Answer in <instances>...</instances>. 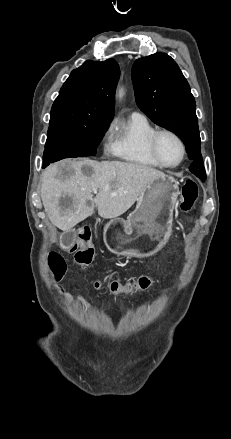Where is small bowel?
I'll list each match as a JSON object with an SVG mask.
<instances>
[{"label": "small bowel", "instance_id": "small-bowel-1", "mask_svg": "<svg viewBox=\"0 0 231 439\" xmlns=\"http://www.w3.org/2000/svg\"><path fill=\"white\" fill-rule=\"evenodd\" d=\"M74 297L78 300V301H80L86 308H87V310L88 311H91V305H90V303L82 296V295H80V294H75L74 295ZM72 296L71 295H67L66 296V300L67 301H71L72 300Z\"/></svg>", "mask_w": 231, "mask_h": 439}]
</instances>
